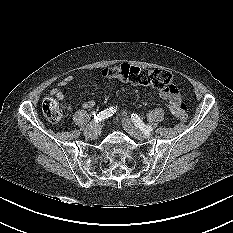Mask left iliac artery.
Listing matches in <instances>:
<instances>
[{"label": "left iliac artery", "instance_id": "obj_1", "mask_svg": "<svg viewBox=\"0 0 233 233\" xmlns=\"http://www.w3.org/2000/svg\"><path fill=\"white\" fill-rule=\"evenodd\" d=\"M131 119L134 122L135 126L138 127L140 130L144 132H151L153 130L152 126L144 124L137 114H132Z\"/></svg>", "mask_w": 233, "mask_h": 233}]
</instances>
